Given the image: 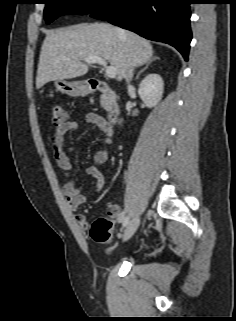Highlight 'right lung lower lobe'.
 <instances>
[{
  "mask_svg": "<svg viewBox=\"0 0 236 321\" xmlns=\"http://www.w3.org/2000/svg\"><path fill=\"white\" fill-rule=\"evenodd\" d=\"M191 0H111L91 17L174 46L188 60Z\"/></svg>",
  "mask_w": 236,
  "mask_h": 321,
  "instance_id": "obj_1",
  "label": "right lung lower lobe"
}]
</instances>
